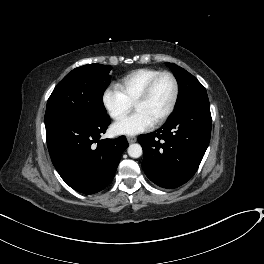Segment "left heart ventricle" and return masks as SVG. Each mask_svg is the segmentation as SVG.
Segmentation results:
<instances>
[{"mask_svg":"<svg viewBox=\"0 0 264 264\" xmlns=\"http://www.w3.org/2000/svg\"><path fill=\"white\" fill-rule=\"evenodd\" d=\"M173 91L174 85L171 78L162 76L155 83L149 97L134 107L135 111L144 113L155 122L168 109Z\"/></svg>","mask_w":264,"mask_h":264,"instance_id":"1","label":"left heart ventricle"}]
</instances>
